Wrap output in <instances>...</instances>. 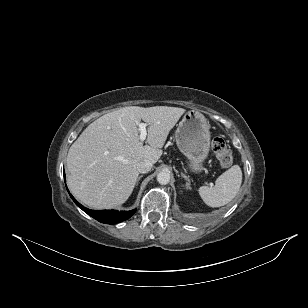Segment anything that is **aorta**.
I'll use <instances>...</instances> for the list:
<instances>
[{"label": "aorta", "instance_id": "aorta-1", "mask_svg": "<svg viewBox=\"0 0 308 308\" xmlns=\"http://www.w3.org/2000/svg\"><path fill=\"white\" fill-rule=\"evenodd\" d=\"M157 181L161 185H166L170 181V173L167 171H161L157 175Z\"/></svg>", "mask_w": 308, "mask_h": 308}]
</instances>
